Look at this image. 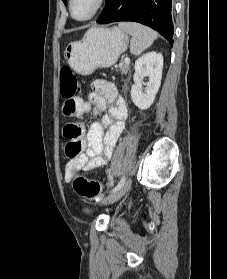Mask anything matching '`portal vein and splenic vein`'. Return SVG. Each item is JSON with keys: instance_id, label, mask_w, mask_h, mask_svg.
Masks as SVG:
<instances>
[{"instance_id": "1", "label": "portal vein and splenic vein", "mask_w": 227, "mask_h": 279, "mask_svg": "<svg viewBox=\"0 0 227 279\" xmlns=\"http://www.w3.org/2000/svg\"><path fill=\"white\" fill-rule=\"evenodd\" d=\"M124 62H125L126 64H129V63H130V59H129L128 57H125Z\"/></svg>"}]
</instances>
